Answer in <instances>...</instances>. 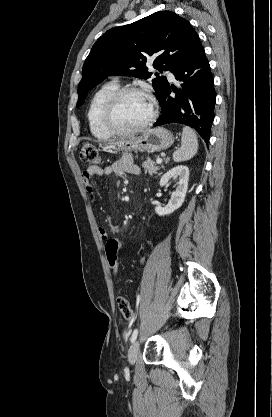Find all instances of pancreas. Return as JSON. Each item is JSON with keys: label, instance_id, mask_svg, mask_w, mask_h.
<instances>
[{"label": "pancreas", "instance_id": "obj_1", "mask_svg": "<svg viewBox=\"0 0 272 417\" xmlns=\"http://www.w3.org/2000/svg\"><path fill=\"white\" fill-rule=\"evenodd\" d=\"M142 167L145 173L149 174H155L160 169V167L157 166L150 158H146V160L142 163Z\"/></svg>", "mask_w": 272, "mask_h": 417}]
</instances>
